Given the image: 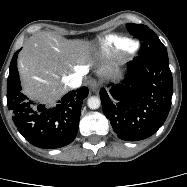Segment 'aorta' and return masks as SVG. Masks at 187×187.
I'll use <instances>...</instances> for the list:
<instances>
[{"instance_id": "obj_1", "label": "aorta", "mask_w": 187, "mask_h": 187, "mask_svg": "<svg viewBox=\"0 0 187 187\" xmlns=\"http://www.w3.org/2000/svg\"><path fill=\"white\" fill-rule=\"evenodd\" d=\"M88 107L90 109H98L101 105V101L96 96H91L87 101Z\"/></svg>"}]
</instances>
